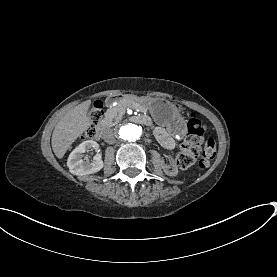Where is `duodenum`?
<instances>
[{"label": "duodenum", "instance_id": "duodenum-1", "mask_svg": "<svg viewBox=\"0 0 277 277\" xmlns=\"http://www.w3.org/2000/svg\"><path fill=\"white\" fill-rule=\"evenodd\" d=\"M126 99H127V96L124 94L113 95L107 99L106 105H107V107H111L114 103L122 101V100H126ZM132 121L136 122V123L151 126L150 119L144 115L134 116V117H132ZM105 129H106L105 124L104 123L100 124L97 128L96 138H101ZM156 129L157 128H155V131H156Z\"/></svg>", "mask_w": 277, "mask_h": 277}]
</instances>
